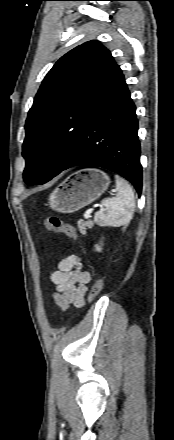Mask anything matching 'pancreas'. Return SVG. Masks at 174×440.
<instances>
[{
  "label": "pancreas",
  "mask_w": 174,
  "mask_h": 440,
  "mask_svg": "<svg viewBox=\"0 0 174 440\" xmlns=\"http://www.w3.org/2000/svg\"><path fill=\"white\" fill-rule=\"evenodd\" d=\"M77 225H78L80 233L82 235H85L86 234V229L87 228L91 229L94 226V222L91 221V220H88V221H85V222L80 220V221L77 222Z\"/></svg>",
  "instance_id": "cf45deb5"
}]
</instances>
